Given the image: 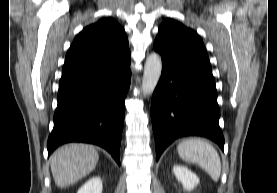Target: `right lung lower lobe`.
Here are the masks:
<instances>
[{"instance_id":"98d812e1","label":"right lung lower lobe","mask_w":277,"mask_h":193,"mask_svg":"<svg viewBox=\"0 0 277 193\" xmlns=\"http://www.w3.org/2000/svg\"><path fill=\"white\" fill-rule=\"evenodd\" d=\"M130 54L92 71L61 78L48 155L68 142L103 147L120 164V142L131 71Z\"/></svg>"}]
</instances>
